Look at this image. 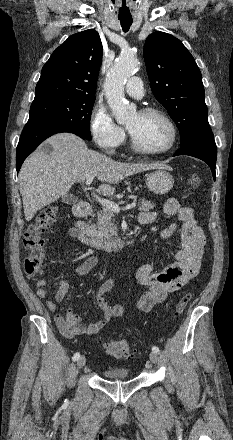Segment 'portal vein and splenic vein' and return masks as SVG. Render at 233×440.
<instances>
[{"label":"portal vein and splenic vein","mask_w":233,"mask_h":440,"mask_svg":"<svg viewBox=\"0 0 233 440\" xmlns=\"http://www.w3.org/2000/svg\"><path fill=\"white\" fill-rule=\"evenodd\" d=\"M93 179H94V177L93 176H88L87 178H86V185L87 186H90V184L92 183V181H93ZM87 189H89V188H87ZM93 197L103 206V207H106V208H109V209H111L112 211H114V212H120V210H121V208L119 207V205L117 204V203H115L114 201H110V200H105V199H101L99 196H97V195H93ZM136 206V204L135 203H131V204H128L125 208H122L123 210H129V209H132V208H134Z\"/></svg>","instance_id":"portal-vein-and-splenic-vein-1"}]
</instances>
